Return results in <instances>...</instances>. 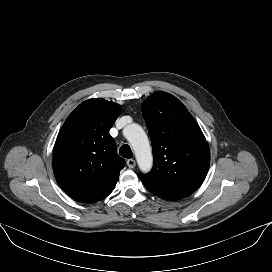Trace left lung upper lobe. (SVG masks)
Here are the masks:
<instances>
[{
  "label": "left lung upper lobe",
  "instance_id": "left-lung-upper-lobe-1",
  "mask_svg": "<svg viewBox=\"0 0 272 272\" xmlns=\"http://www.w3.org/2000/svg\"><path fill=\"white\" fill-rule=\"evenodd\" d=\"M154 165L138 177L154 195L169 201L195 192L206 177L210 150L187 108L173 95L157 92L142 103Z\"/></svg>",
  "mask_w": 272,
  "mask_h": 272
}]
</instances>
